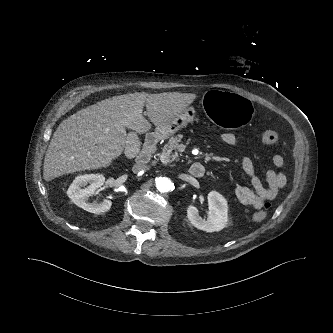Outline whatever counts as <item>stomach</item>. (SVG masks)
<instances>
[{
  "label": "stomach",
  "instance_id": "stomach-1",
  "mask_svg": "<svg viewBox=\"0 0 333 333\" xmlns=\"http://www.w3.org/2000/svg\"><path fill=\"white\" fill-rule=\"evenodd\" d=\"M202 111L208 120L225 129L241 128L247 125L253 116V107L247 98L231 95L223 89H214L205 95ZM194 115V109L188 107L170 122L156 127L155 133L160 138H168L186 127Z\"/></svg>",
  "mask_w": 333,
  "mask_h": 333
}]
</instances>
